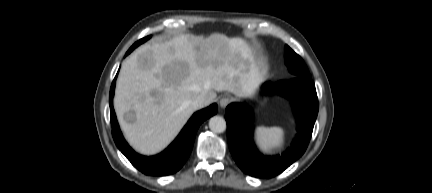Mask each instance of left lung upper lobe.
Segmentation results:
<instances>
[{"label":"left lung upper lobe","instance_id":"5c2ea615","mask_svg":"<svg viewBox=\"0 0 432 193\" xmlns=\"http://www.w3.org/2000/svg\"><path fill=\"white\" fill-rule=\"evenodd\" d=\"M285 64L294 77H311L302 58L289 46H285Z\"/></svg>","mask_w":432,"mask_h":193}]
</instances>
